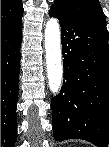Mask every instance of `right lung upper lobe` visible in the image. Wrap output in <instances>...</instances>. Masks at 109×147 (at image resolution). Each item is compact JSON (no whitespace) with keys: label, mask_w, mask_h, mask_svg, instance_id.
I'll return each mask as SVG.
<instances>
[{"label":"right lung upper lobe","mask_w":109,"mask_h":147,"mask_svg":"<svg viewBox=\"0 0 109 147\" xmlns=\"http://www.w3.org/2000/svg\"><path fill=\"white\" fill-rule=\"evenodd\" d=\"M23 15L21 0H1V30L15 24Z\"/></svg>","instance_id":"cb5924a9"}]
</instances>
